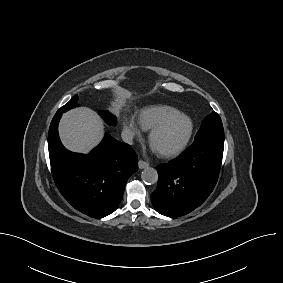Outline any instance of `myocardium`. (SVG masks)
Listing matches in <instances>:
<instances>
[{
  "instance_id": "obj_1",
  "label": "myocardium",
  "mask_w": 283,
  "mask_h": 283,
  "mask_svg": "<svg viewBox=\"0 0 283 283\" xmlns=\"http://www.w3.org/2000/svg\"><path fill=\"white\" fill-rule=\"evenodd\" d=\"M176 118H184L185 120H187L188 122V130L187 133L185 135V137L183 138V140L174 148L169 149V150H165V151H160L159 154L160 156L164 157V158H171V157H175L177 155H179L180 153L183 152V150L186 148V146L188 145L189 141L191 140V137L193 135L194 132V123L192 118L182 112H176L173 113L165 118H163L162 120H160L157 124H155L149 133V141L151 142L153 137L162 129L164 128L170 121H172L173 119Z\"/></svg>"
}]
</instances>
